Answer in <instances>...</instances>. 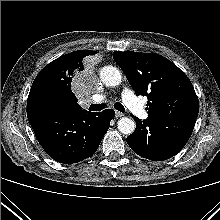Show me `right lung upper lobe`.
<instances>
[{"label":"right lung upper lobe","instance_id":"1","mask_svg":"<svg viewBox=\"0 0 220 220\" xmlns=\"http://www.w3.org/2000/svg\"><path fill=\"white\" fill-rule=\"evenodd\" d=\"M97 52L79 50L63 55L46 65L36 76L27 100V105L37 104V97L43 92L58 96L63 108L81 111L77 98L71 90L74 76L84 70V61Z\"/></svg>","mask_w":220,"mask_h":220}]
</instances>
